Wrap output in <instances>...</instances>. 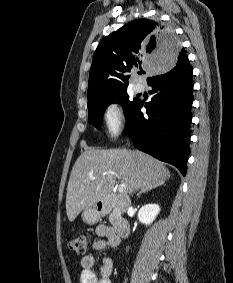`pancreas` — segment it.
Here are the masks:
<instances>
[{"instance_id":"pancreas-1","label":"pancreas","mask_w":233,"mask_h":283,"mask_svg":"<svg viewBox=\"0 0 233 283\" xmlns=\"http://www.w3.org/2000/svg\"><path fill=\"white\" fill-rule=\"evenodd\" d=\"M115 218H116V211L114 210L109 217L110 222L113 223Z\"/></svg>"}]
</instances>
